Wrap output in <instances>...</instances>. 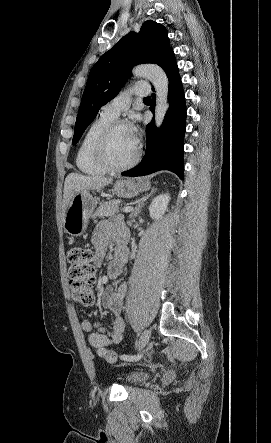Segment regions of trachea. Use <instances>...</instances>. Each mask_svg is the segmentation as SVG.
<instances>
[{
  "label": "trachea",
  "instance_id": "obj_1",
  "mask_svg": "<svg viewBox=\"0 0 271 443\" xmlns=\"http://www.w3.org/2000/svg\"><path fill=\"white\" fill-rule=\"evenodd\" d=\"M148 100H151V98L150 97H145L144 98V101H148Z\"/></svg>",
  "mask_w": 271,
  "mask_h": 443
}]
</instances>
